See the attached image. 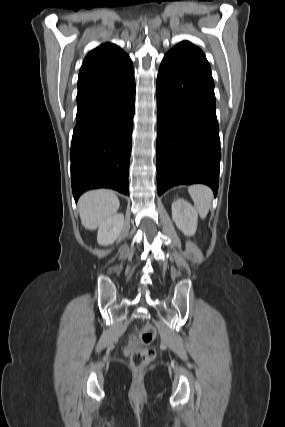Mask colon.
<instances>
[{
    "instance_id": "colon-1",
    "label": "colon",
    "mask_w": 285,
    "mask_h": 427,
    "mask_svg": "<svg viewBox=\"0 0 285 427\" xmlns=\"http://www.w3.org/2000/svg\"><path fill=\"white\" fill-rule=\"evenodd\" d=\"M155 329L150 324L141 326L128 338V349L130 351L131 366L135 370H142L155 358V351L150 344L155 338Z\"/></svg>"
}]
</instances>
